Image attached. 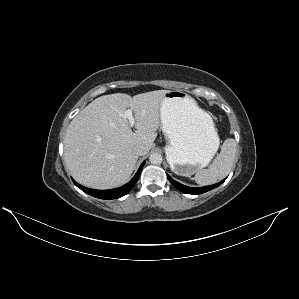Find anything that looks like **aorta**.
Masks as SVG:
<instances>
[{
    "mask_svg": "<svg viewBox=\"0 0 299 299\" xmlns=\"http://www.w3.org/2000/svg\"><path fill=\"white\" fill-rule=\"evenodd\" d=\"M149 161L154 164V165H158L162 163V155L160 153H152L149 157Z\"/></svg>",
    "mask_w": 299,
    "mask_h": 299,
    "instance_id": "1",
    "label": "aorta"
}]
</instances>
